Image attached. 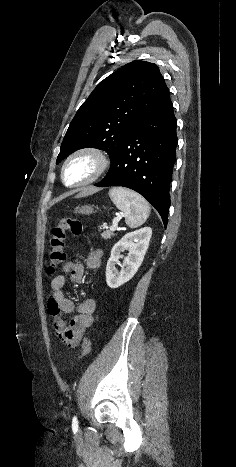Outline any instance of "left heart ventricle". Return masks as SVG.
<instances>
[{"label":"left heart ventricle","instance_id":"left-heart-ventricle-1","mask_svg":"<svg viewBox=\"0 0 236 467\" xmlns=\"http://www.w3.org/2000/svg\"><path fill=\"white\" fill-rule=\"evenodd\" d=\"M97 168L96 160L90 155L74 158L66 167L64 178L66 183L74 184L90 178Z\"/></svg>","mask_w":236,"mask_h":467}]
</instances>
